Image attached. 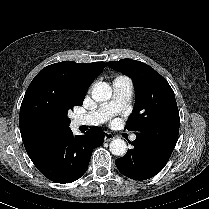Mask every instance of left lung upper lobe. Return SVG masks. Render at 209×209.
<instances>
[{
	"label": "left lung upper lobe",
	"instance_id": "1",
	"mask_svg": "<svg viewBox=\"0 0 209 209\" xmlns=\"http://www.w3.org/2000/svg\"><path fill=\"white\" fill-rule=\"evenodd\" d=\"M107 65L129 76L136 89V101L125 128L157 135L179 134V111L168 82L149 65L132 59L107 62Z\"/></svg>",
	"mask_w": 209,
	"mask_h": 209
}]
</instances>
